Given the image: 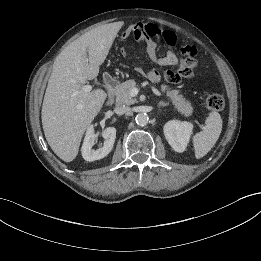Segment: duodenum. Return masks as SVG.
I'll use <instances>...</instances> for the list:
<instances>
[{
    "label": "duodenum",
    "instance_id": "obj_1",
    "mask_svg": "<svg viewBox=\"0 0 261 261\" xmlns=\"http://www.w3.org/2000/svg\"><path fill=\"white\" fill-rule=\"evenodd\" d=\"M103 80H104L105 89L108 93V103H112L114 101V93L118 82L116 78L109 73H106L104 75Z\"/></svg>",
    "mask_w": 261,
    "mask_h": 261
}]
</instances>
